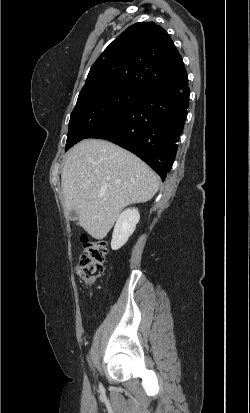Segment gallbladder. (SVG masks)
I'll return each instance as SVG.
<instances>
[{
	"label": "gallbladder",
	"instance_id": "bac80fb5",
	"mask_svg": "<svg viewBox=\"0 0 250 413\" xmlns=\"http://www.w3.org/2000/svg\"><path fill=\"white\" fill-rule=\"evenodd\" d=\"M78 217L77 213L75 211H70L69 212V218L70 220H76Z\"/></svg>",
	"mask_w": 250,
	"mask_h": 413
}]
</instances>
